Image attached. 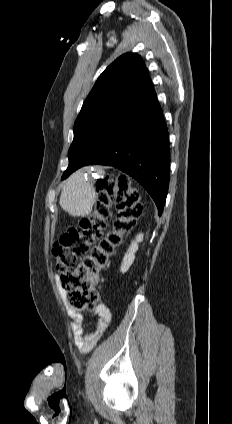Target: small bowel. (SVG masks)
Listing matches in <instances>:
<instances>
[{"label":"small bowel","mask_w":232,"mask_h":424,"mask_svg":"<svg viewBox=\"0 0 232 424\" xmlns=\"http://www.w3.org/2000/svg\"><path fill=\"white\" fill-rule=\"evenodd\" d=\"M72 317L71 328L74 334L75 345L81 352H89L101 339L111 321V313L105 304H98L94 309V329L86 330L84 327L85 316L83 313L70 310Z\"/></svg>","instance_id":"small-bowel-1"}]
</instances>
